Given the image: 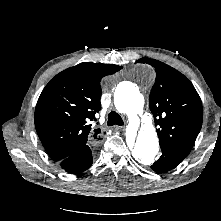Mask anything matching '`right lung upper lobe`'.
Returning a JSON list of instances; mask_svg holds the SVG:
<instances>
[{"mask_svg":"<svg viewBox=\"0 0 221 221\" xmlns=\"http://www.w3.org/2000/svg\"><path fill=\"white\" fill-rule=\"evenodd\" d=\"M117 65L83 62L56 75L42 91L34 114L38 136L59 162L98 140L92 125L101 109L100 81L119 71Z\"/></svg>","mask_w":221,"mask_h":221,"instance_id":"obj_1","label":"right lung upper lobe"}]
</instances>
